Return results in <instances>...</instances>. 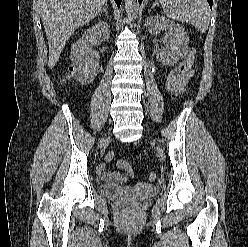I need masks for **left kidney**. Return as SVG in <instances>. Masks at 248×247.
Segmentation results:
<instances>
[{
    "instance_id": "5707ae66",
    "label": "left kidney",
    "mask_w": 248,
    "mask_h": 247,
    "mask_svg": "<svg viewBox=\"0 0 248 247\" xmlns=\"http://www.w3.org/2000/svg\"><path fill=\"white\" fill-rule=\"evenodd\" d=\"M146 27L151 34H158L163 30H168L169 45L157 52V58L163 65L173 66L179 59L187 55L189 37L181 25L165 17L155 15L147 18Z\"/></svg>"
}]
</instances>
